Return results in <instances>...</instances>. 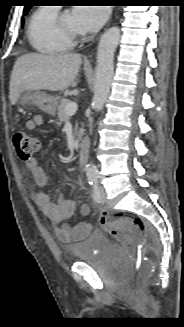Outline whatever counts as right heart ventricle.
I'll use <instances>...</instances> for the list:
<instances>
[{"instance_id": "obj_1", "label": "right heart ventricle", "mask_w": 184, "mask_h": 327, "mask_svg": "<svg viewBox=\"0 0 184 327\" xmlns=\"http://www.w3.org/2000/svg\"><path fill=\"white\" fill-rule=\"evenodd\" d=\"M59 9L56 7H39L31 15L27 37L30 45L38 52L45 54H59L69 51L74 42L62 34L56 19Z\"/></svg>"}]
</instances>
